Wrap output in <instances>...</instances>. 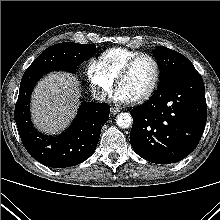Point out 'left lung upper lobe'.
Segmentation results:
<instances>
[{
	"instance_id": "1",
	"label": "left lung upper lobe",
	"mask_w": 220,
	"mask_h": 220,
	"mask_svg": "<svg viewBox=\"0 0 220 220\" xmlns=\"http://www.w3.org/2000/svg\"><path fill=\"white\" fill-rule=\"evenodd\" d=\"M153 54L160 70V83L176 71L193 67L185 56L164 46H156Z\"/></svg>"
}]
</instances>
